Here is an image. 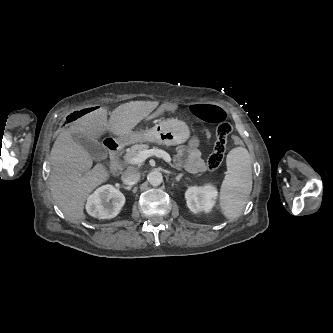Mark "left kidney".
<instances>
[{
    "label": "left kidney",
    "mask_w": 333,
    "mask_h": 333,
    "mask_svg": "<svg viewBox=\"0 0 333 333\" xmlns=\"http://www.w3.org/2000/svg\"><path fill=\"white\" fill-rule=\"evenodd\" d=\"M217 195V188L213 185L206 184L199 187H189L185 193V198L187 200V206L192 212L198 213L204 211L208 213L211 211Z\"/></svg>",
    "instance_id": "1"
}]
</instances>
